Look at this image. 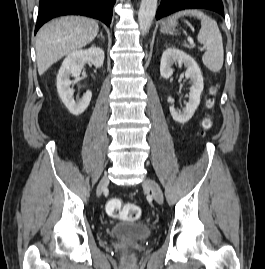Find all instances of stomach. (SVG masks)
Segmentation results:
<instances>
[{"instance_id": "1", "label": "stomach", "mask_w": 265, "mask_h": 269, "mask_svg": "<svg viewBox=\"0 0 265 269\" xmlns=\"http://www.w3.org/2000/svg\"><path fill=\"white\" fill-rule=\"evenodd\" d=\"M175 24H170L169 21H164L161 25V32L164 34H171L174 31Z\"/></svg>"}]
</instances>
